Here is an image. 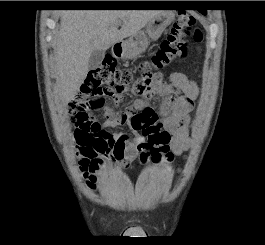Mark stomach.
<instances>
[{"label":"stomach","instance_id":"0dacf381","mask_svg":"<svg viewBox=\"0 0 265 245\" xmlns=\"http://www.w3.org/2000/svg\"><path fill=\"white\" fill-rule=\"evenodd\" d=\"M173 19L174 13L171 11H162L152 18L147 23L145 31H139L122 42L121 56L125 59H133L145 52L150 40H157Z\"/></svg>","mask_w":265,"mask_h":245}]
</instances>
